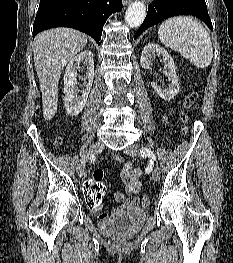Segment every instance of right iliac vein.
Segmentation results:
<instances>
[{
    "instance_id": "1",
    "label": "right iliac vein",
    "mask_w": 233,
    "mask_h": 263,
    "mask_svg": "<svg viewBox=\"0 0 233 263\" xmlns=\"http://www.w3.org/2000/svg\"><path fill=\"white\" fill-rule=\"evenodd\" d=\"M104 144L102 142H97L94 145H92L86 153L81 157L78 166H77V172L80 177H84L86 173V164L91 156H94L96 154H99L103 151Z\"/></svg>"
}]
</instances>
